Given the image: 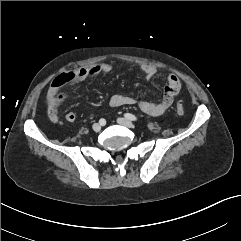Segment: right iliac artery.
Masks as SVG:
<instances>
[{
    "instance_id": "82829eb1",
    "label": "right iliac artery",
    "mask_w": 241,
    "mask_h": 241,
    "mask_svg": "<svg viewBox=\"0 0 241 241\" xmlns=\"http://www.w3.org/2000/svg\"><path fill=\"white\" fill-rule=\"evenodd\" d=\"M99 123H100L101 125H105L106 121H105V119H100V120H99Z\"/></svg>"
}]
</instances>
